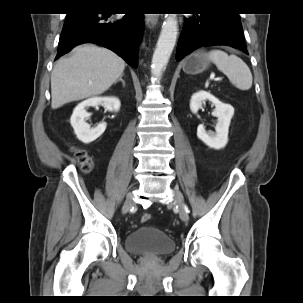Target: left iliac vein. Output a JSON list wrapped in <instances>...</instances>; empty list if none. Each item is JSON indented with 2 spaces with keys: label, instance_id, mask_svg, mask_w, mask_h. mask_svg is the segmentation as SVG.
I'll return each mask as SVG.
<instances>
[{
  "label": "left iliac vein",
  "instance_id": "left-iliac-vein-1",
  "mask_svg": "<svg viewBox=\"0 0 303 303\" xmlns=\"http://www.w3.org/2000/svg\"><path fill=\"white\" fill-rule=\"evenodd\" d=\"M174 199H173V204L179 206V215L182 221L187 222L189 220V214L184 208V197L181 191L178 189L174 190Z\"/></svg>",
  "mask_w": 303,
  "mask_h": 303
}]
</instances>
